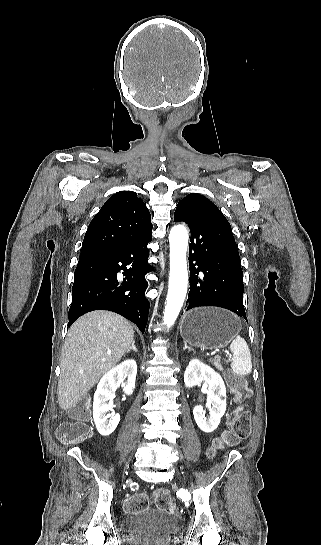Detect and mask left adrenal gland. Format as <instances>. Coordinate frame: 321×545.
I'll use <instances>...</instances> for the list:
<instances>
[{
    "instance_id": "a2214340",
    "label": "left adrenal gland",
    "mask_w": 321,
    "mask_h": 545,
    "mask_svg": "<svg viewBox=\"0 0 321 545\" xmlns=\"http://www.w3.org/2000/svg\"><path fill=\"white\" fill-rule=\"evenodd\" d=\"M183 349H184V351H185V349H189V351H194V349H191V347H188L187 343H184Z\"/></svg>"
}]
</instances>
